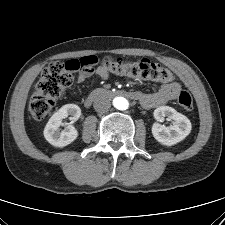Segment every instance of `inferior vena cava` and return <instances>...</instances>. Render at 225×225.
Here are the masks:
<instances>
[{
  "label": "inferior vena cava",
  "instance_id": "inferior-vena-cava-1",
  "mask_svg": "<svg viewBox=\"0 0 225 225\" xmlns=\"http://www.w3.org/2000/svg\"><path fill=\"white\" fill-rule=\"evenodd\" d=\"M93 106L97 112L105 113V112L109 111V109L111 107V103L108 99H106L104 97H98L95 99Z\"/></svg>",
  "mask_w": 225,
  "mask_h": 225
}]
</instances>
